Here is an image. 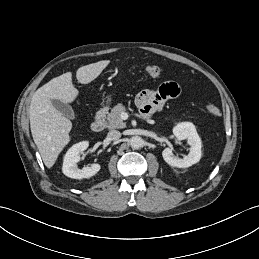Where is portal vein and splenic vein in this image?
<instances>
[{
	"label": "portal vein and splenic vein",
	"instance_id": "1",
	"mask_svg": "<svg viewBox=\"0 0 259 259\" xmlns=\"http://www.w3.org/2000/svg\"><path fill=\"white\" fill-rule=\"evenodd\" d=\"M121 117H122V119L125 120V119L128 118V114L124 112V113L121 114Z\"/></svg>",
	"mask_w": 259,
	"mask_h": 259
}]
</instances>
